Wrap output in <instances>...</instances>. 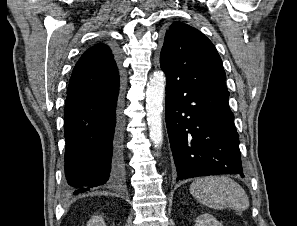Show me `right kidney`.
<instances>
[{
  "instance_id": "obj_1",
  "label": "right kidney",
  "mask_w": 297,
  "mask_h": 226,
  "mask_svg": "<svg viewBox=\"0 0 297 226\" xmlns=\"http://www.w3.org/2000/svg\"><path fill=\"white\" fill-rule=\"evenodd\" d=\"M87 226H106L104 219L101 216H93L87 223Z\"/></svg>"
}]
</instances>
